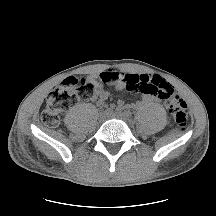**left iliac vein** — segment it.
Instances as JSON below:
<instances>
[{
  "mask_svg": "<svg viewBox=\"0 0 216 216\" xmlns=\"http://www.w3.org/2000/svg\"><path fill=\"white\" fill-rule=\"evenodd\" d=\"M110 118H115V119H120V120H123V121H127V117L125 116V114L123 113H115V114H110L109 115Z\"/></svg>",
  "mask_w": 216,
  "mask_h": 216,
  "instance_id": "obj_1",
  "label": "left iliac vein"
}]
</instances>
